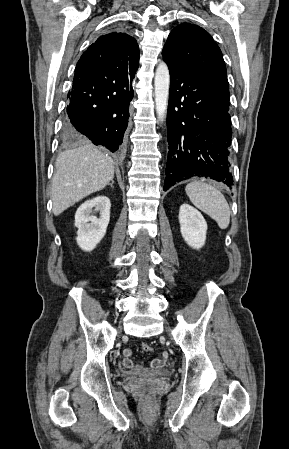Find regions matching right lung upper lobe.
Here are the masks:
<instances>
[{"instance_id": "1", "label": "right lung upper lobe", "mask_w": 289, "mask_h": 449, "mask_svg": "<svg viewBox=\"0 0 289 449\" xmlns=\"http://www.w3.org/2000/svg\"><path fill=\"white\" fill-rule=\"evenodd\" d=\"M139 66V47L126 33L100 36L82 54L75 68L74 78L90 81H114L134 76Z\"/></svg>"}]
</instances>
